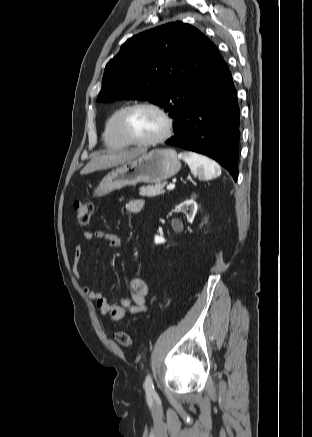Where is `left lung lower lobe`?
Segmentation results:
<instances>
[{
	"label": "left lung lower lobe",
	"instance_id": "0a47b994",
	"mask_svg": "<svg viewBox=\"0 0 312 437\" xmlns=\"http://www.w3.org/2000/svg\"><path fill=\"white\" fill-rule=\"evenodd\" d=\"M240 110L231 73L223 61L215 77L192 100L167 144L219 162L236 181Z\"/></svg>",
	"mask_w": 312,
	"mask_h": 437
}]
</instances>
